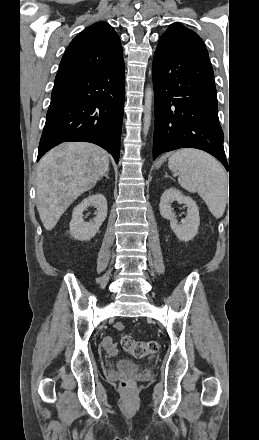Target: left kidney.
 I'll use <instances>...</instances> for the list:
<instances>
[{
	"mask_svg": "<svg viewBox=\"0 0 259 440\" xmlns=\"http://www.w3.org/2000/svg\"><path fill=\"white\" fill-rule=\"evenodd\" d=\"M177 201L187 206L185 219L178 224L175 213L172 211V203ZM160 214L163 218L170 221V227L182 241L192 240L198 233L200 224L199 209L196 202L189 196L183 195L176 188H169L164 191L160 200Z\"/></svg>",
	"mask_w": 259,
	"mask_h": 440,
	"instance_id": "5707ae66",
	"label": "left kidney"
}]
</instances>
